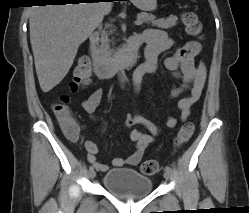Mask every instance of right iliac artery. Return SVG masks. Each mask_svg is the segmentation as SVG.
<instances>
[{
	"mask_svg": "<svg viewBox=\"0 0 249 213\" xmlns=\"http://www.w3.org/2000/svg\"><path fill=\"white\" fill-rule=\"evenodd\" d=\"M92 170H94V168H93V166H90L89 171H92Z\"/></svg>",
	"mask_w": 249,
	"mask_h": 213,
	"instance_id": "right-iliac-artery-1",
	"label": "right iliac artery"
}]
</instances>
